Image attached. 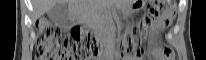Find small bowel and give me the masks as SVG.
I'll list each match as a JSON object with an SVG mask.
<instances>
[{"instance_id": "c3829d8e", "label": "small bowel", "mask_w": 206, "mask_h": 60, "mask_svg": "<svg viewBox=\"0 0 206 60\" xmlns=\"http://www.w3.org/2000/svg\"><path fill=\"white\" fill-rule=\"evenodd\" d=\"M160 25H161V22L156 23V27H160ZM153 56L157 60H172L173 59V58H170V57L166 56L164 51L161 50V49H155L154 52H153ZM139 59L140 58H134V57H131V56H126L124 58V60H139Z\"/></svg>"}]
</instances>
